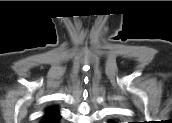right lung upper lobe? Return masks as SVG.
Listing matches in <instances>:
<instances>
[{
    "label": "right lung upper lobe",
    "instance_id": "right-lung-upper-lobe-1",
    "mask_svg": "<svg viewBox=\"0 0 172 123\" xmlns=\"http://www.w3.org/2000/svg\"><path fill=\"white\" fill-rule=\"evenodd\" d=\"M59 112L55 107H51L47 110L45 114V120L43 123H57L59 120Z\"/></svg>",
    "mask_w": 172,
    "mask_h": 123
}]
</instances>
